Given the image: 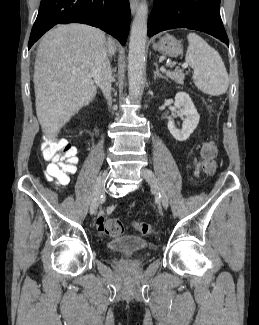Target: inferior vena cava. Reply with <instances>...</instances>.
<instances>
[{
  "label": "inferior vena cava",
  "mask_w": 259,
  "mask_h": 325,
  "mask_svg": "<svg viewBox=\"0 0 259 325\" xmlns=\"http://www.w3.org/2000/svg\"><path fill=\"white\" fill-rule=\"evenodd\" d=\"M108 49L103 47L95 55L92 76L96 84H98L108 101L109 106L111 105V65L108 59Z\"/></svg>",
  "instance_id": "obj_1"
}]
</instances>
